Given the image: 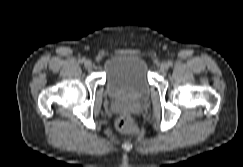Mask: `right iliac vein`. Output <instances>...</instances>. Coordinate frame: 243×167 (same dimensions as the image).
Masks as SVG:
<instances>
[{
    "label": "right iliac vein",
    "mask_w": 243,
    "mask_h": 167,
    "mask_svg": "<svg viewBox=\"0 0 243 167\" xmlns=\"http://www.w3.org/2000/svg\"><path fill=\"white\" fill-rule=\"evenodd\" d=\"M84 65L87 69H90L92 67V62L90 60H86Z\"/></svg>",
    "instance_id": "obj_1"
}]
</instances>
